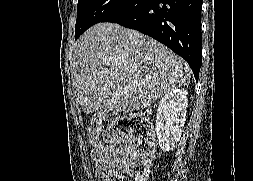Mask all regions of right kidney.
<instances>
[{
    "instance_id": "right-kidney-1",
    "label": "right kidney",
    "mask_w": 253,
    "mask_h": 181,
    "mask_svg": "<svg viewBox=\"0 0 253 181\" xmlns=\"http://www.w3.org/2000/svg\"><path fill=\"white\" fill-rule=\"evenodd\" d=\"M186 95V90L175 88L160 100L155 130L158 144L164 152L173 150L180 139L188 107Z\"/></svg>"
}]
</instances>
